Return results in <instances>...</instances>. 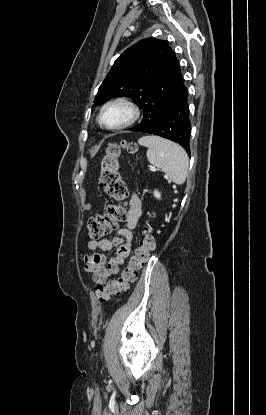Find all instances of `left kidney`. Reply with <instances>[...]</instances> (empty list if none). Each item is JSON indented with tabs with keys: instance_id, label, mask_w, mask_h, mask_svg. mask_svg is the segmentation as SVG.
Here are the masks:
<instances>
[{
	"instance_id": "obj_1",
	"label": "left kidney",
	"mask_w": 266,
	"mask_h": 415,
	"mask_svg": "<svg viewBox=\"0 0 266 415\" xmlns=\"http://www.w3.org/2000/svg\"><path fill=\"white\" fill-rule=\"evenodd\" d=\"M154 196L159 199L161 197L160 192H158L157 190L154 191Z\"/></svg>"
}]
</instances>
